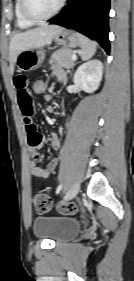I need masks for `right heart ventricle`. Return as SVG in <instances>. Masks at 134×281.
<instances>
[{"instance_id": "e07e8e85", "label": "right heart ventricle", "mask_w": 134, "mask_h": 281, "mask_svg": "<svg viewBox=\"0 0 134 281\" xmlns=\"http://www.w3.org/2000/svg\"><path fill=\"white\" fill-rule=\"evenodd\" d=\"M15 22L18 28L27 29L35 25V22L27 19L21 9V0L14 1Z\"/></svg>"}]
</instances>
